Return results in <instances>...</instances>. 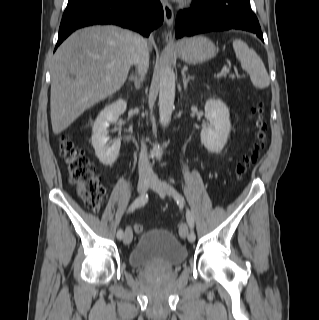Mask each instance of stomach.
Instances as JSON below:
<instances>
[{
	"instance_id": "obj_1",
	"label": "stomach",
	"mask_w": 319,
	"mask_h": 320,
	"mask_svg": "<svg viewBox=\"0 0 319 320\" xmlns=\"http://www.w3.org/2000/svg\"><path fill=\"white\" fill-rule=\"evenodd\" d=\"M217 49L205 36L198 35L183 39L178 46L179 57L189 64H200L215 57Z\"/></svg>"
}]
</instances>
